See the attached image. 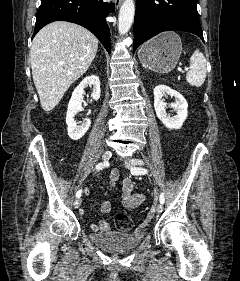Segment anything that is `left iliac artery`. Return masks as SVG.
I'll list each match as a JSON object with an SVG mask.
<instances>
[{
  "label": "left iliac artery",
  "mask_w": 240,
  "mask_h": 281,
  "mask_svg": "<svg viewBox=\"0 0 240 281\" xmlns=\"http://www.w3.org/2000/svg\"><path fill=\"white\" fill-rule=\"evenodd\" d=\"M147 172H148V170L145 169V168H136V167L131 168V173H132L133 175H144V174H146ZM159 200H160V203H161V204H164V202H165L164 193H161V194H160Z\"/></svg>",
  "instance_id": "obj_1"
}]
</instances>
